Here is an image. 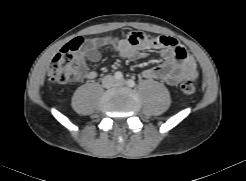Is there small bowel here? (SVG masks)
Instances as JSON below:
<instances>
[{
  "label": "small bowel",
  "instance_id": "obj_1",
  "mask_svg": "<svg viewBox=\"0 0 246 181\" xmlns=\"http://www.w3.org/2000/svg\"><path fill=\"white\" fill-rule=\"evenodd\" d=\"M132 32L127 38L117 41L114 45L110 37L94 38L85 43L79 50L82 60L97 62L100 60V48L112 45L119 56L136 59L144 55L141 44H133L130 40ZM160 50L163 62L142 72L144 78L158 79L170 86H176L186 79L195 78L198 74L195 59L173 37L160 36L156 41L148 43ZM83 75L89 79L97 77L96 71H88L83 65Z\"/></svg>",
  "mask_w": 246,
  "mask_h": 181
}]
</instances>
